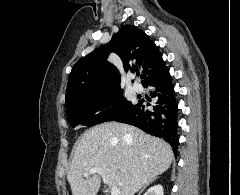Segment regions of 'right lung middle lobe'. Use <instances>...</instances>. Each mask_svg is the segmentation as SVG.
<instances>
[{
	"label": "right lung middle lobe",
	"mask_w": 240,
	"mask_h": 195,
	"mask_svg": "<svg viewBox=\"0 0 240 195\" xmlns=\"http://www.w3.org/2000/svg\"><path fill=\"white\" fill-rule=\"evenodd\" d=\"M137 103L127 101L123 91L99 97H84L72 101L66 106L67 118L72 127L78 124L94 126L96 124L113 121L119 115L126 113ZM107 108L104 112L98 111Z\"/></svg>",
	"instance_id": "right-lung-middle-lobe-1"
}]
</instances>
